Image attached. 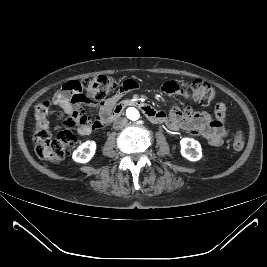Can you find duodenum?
<instances>
[{
    "mask_svg": "<svg viewBox=\"0 0 267 267\" xmlns=\"http://www.w3.org/2000/svg\"><path fill=\"white\" fill-rule=\"evenodd\" d=\"M129 106H135L141 109L144 115L153 123H161L164 121V115L162 112L155 110L152 106L136 99L124 100L116 104L109 112L106 121L108 123L116 120Z\"/></svg>",
    "mask_w": 267,
    "mask_h": 267,
    "instance_id": "410a0bca",
    "label": "duodenum"
}]
</instances>
